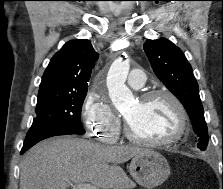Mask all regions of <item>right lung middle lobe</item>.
I'll use <instances>...</instances> for the list:
<instances>
[{"label":"right lung middle lobe","instance_id":"dd1d6c3e","mask_svg":"<svg viewBox=\"0 0 223 189\" xmlns=\"http://www.w3.org/2000/svg\"><path fill=\"white\" fill-rule=\"evenodd\" d=\"M87 89L38 93L33 124L59 125L76 134H84L81 109Z\"/></svg>","mask_w":223,"mask_h":189}]
</instances>
